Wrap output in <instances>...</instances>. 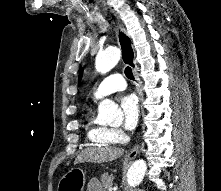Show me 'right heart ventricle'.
<instances>
[{
  "label": "right heart ventricle",
  "mask_w": 221,
  "mask_h": 191,
  "mask_svg": "<svg viewBox=\"0 0 221 191\" xmlns=\"http://www.w3.org/2000/svg\"><path fill=\"white\" fill-rule=\"evenodd\" d=\"M86 136L88 141L95 146H108L115 143L111 137L110 129L94 122L91 117L87 118Z\"/></svg>",
  "instance_id": "1"
}]
</instances>
